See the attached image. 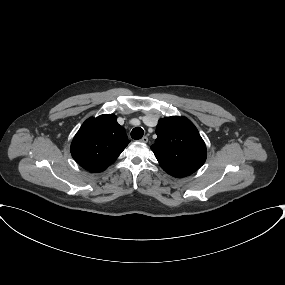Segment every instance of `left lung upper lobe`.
Wrapping results in <instances>:
<instances>
[{
  "label": "left lung upper lobe",
  "mask_w": 285,
  "mask_h": 285,
  "mask_svg": "<svg viewBox=\"0 0 285 285\" xmlns=\"http://www.w3.org/2000/svg\"><path fill=\"white\" fill-rule=\"evenodd\" d=\"M156 134L158 137L151 149L169 175L182 178L204 164L207 156L205 143L187 118L172 116L160 119Z\"/></svg>",
  "instance_id": "5c2ea615"
}]
</instances>
